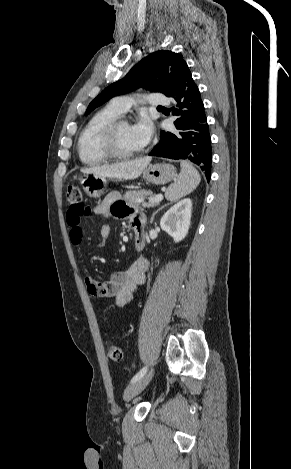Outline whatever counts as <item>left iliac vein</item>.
Here are the masks:
<instances>
[{
	"instance_id": "left-iliac-vein-1",
	"label": "left iliac vein",
	"mask_w": 291,
	"mask_h": 469,
	"mask_svg": "<svg viewBox=\"0 0 291 469\" xmlns=\"http://www.w3.org/2000/svg\"><path fill=\"white\" fill-rule=\"evenodd\" d=\"M154 374V370L151 369L148 373H146L143 377L138 379L137 381L130 384L124 391V400L129 401L134 398L136 395L141 393L145 387L148 385L150 380L152 379Z\"/></svg>"
}]
</instances>
